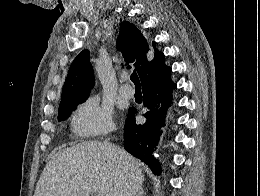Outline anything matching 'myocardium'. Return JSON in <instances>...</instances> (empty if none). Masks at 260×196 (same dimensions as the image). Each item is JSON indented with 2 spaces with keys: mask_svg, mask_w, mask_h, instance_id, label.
I'll list each match as a JSON object with an SVG mask.
<instances>
[{
  "mask_svg": "<svg viewBox=\"0 0 260 196\" xmlns=\"http://www.w3.org/2000/svg\"><path fill=\"white\" fill-rule=\"evenodd\" d=\"M50 192H55V190H50Z\"/></svg>",
  "mask_w": 260,
  "mask_h": 196,
  "instance_id": "1",
  "label": "myocardium"
}]
</instances>
